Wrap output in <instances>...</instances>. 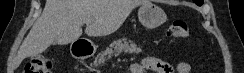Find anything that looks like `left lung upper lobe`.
<instances>
[{
  "label": "left lung upper lobe",
  "instance_id": "1",
  "mask_svg": "<svg viewBox=\"0 0 244 73\" xmlns=\"http://www.w3.org/2000/svg\"><path fill=\"white\" fill-rule=\"evenodd\" d=\"M197 5L201 6L203 4V0H194Z\"/></svg>",
  "mask_w": 244,
  "mask_h": 73
}]
</instances>
